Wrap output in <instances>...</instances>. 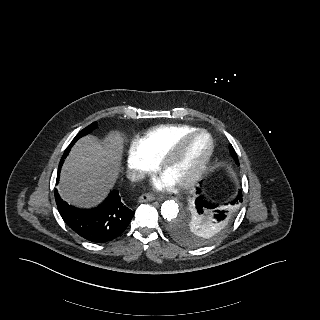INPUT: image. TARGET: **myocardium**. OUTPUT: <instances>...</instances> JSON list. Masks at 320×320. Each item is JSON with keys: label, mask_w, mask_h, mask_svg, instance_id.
<instances>
[{"label": "myocardium", "mask_w": 320, "mask_h": 320, "mask_svg": "<svg viewBox=\"0 0 320 320\" xmlns=\"http://www.w3.org/2000/svg\"><path fill=\"white\" fill-rule=\"evenodd\" d=\"M197 137L206 139V150L190 174L176 184L178 188H188L194 185L205 172L214 151L211 135L203 129L189 131L178 138L170 150L159 160V169L164 173L181 156L188 143Z\"/></svg>", "instance_id": "f54148a6"}]
</instances>
